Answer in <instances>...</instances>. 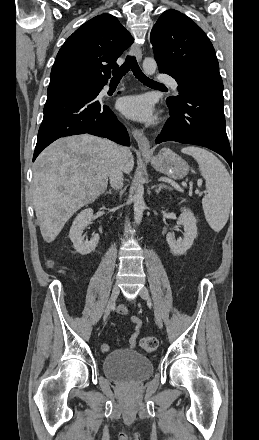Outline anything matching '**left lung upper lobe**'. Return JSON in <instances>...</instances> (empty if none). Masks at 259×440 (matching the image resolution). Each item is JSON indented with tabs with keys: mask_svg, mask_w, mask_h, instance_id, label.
<instances>
[{
	"mask_svg": "<svg viewBox=\"0 0 259 440\" xmlns=\"http://www.w3.org/2000/svg\"><path fill=\"white\" fill-rule=\"evenodd\" d=\"M150 41L158 66L178 83L179 95L168 101L179 104L181 92L197 85L223 90L213 45L189 17L176 10L165 11L154 25Z\"/></svg>",
	"mask_w": 259,
	"mask_h": 440,
	"instance_id": "left-lung-upper-lobe-1",
	"label": "left lung upper lobe"
}]
</instances>
